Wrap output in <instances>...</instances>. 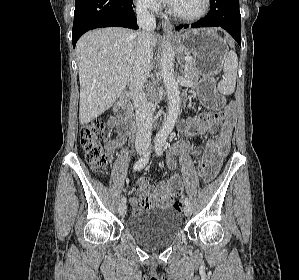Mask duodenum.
Masks as SVG:
<instances>
[{
  "label": "duodenum",
  "instance_id": "1",
  "mask_svg": "<svg viewBox=\"0 0 299 280\" xmlns=\"http://www.w3.org/2000/svg\"><path fill=\"white\" fill-rule=\"evenodd\" d=\"M116 113L119 130L123 133L130 132L132 130V112L128 93L121 95L116 104Z\"/></svg>",
  "mask_w": 299,
  "mask_h": 280
}]
</instances>
